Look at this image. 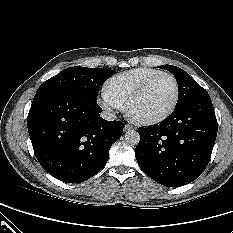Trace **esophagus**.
<instances>
[{"mask_svg":"<svg viewBox=\"0 0 233 233\" xmlns=\"http://www.w3.org/2000/svg\"><path fill=\"white\" fill-rule=\"evenodd\" d=\"M132 128H133L132 125L127 124V125L125 126V128H124V132H127V131L131 130Z\"/></svg>","mask_w":233,"mask_h":233,"instance_id":"obj_1","label":"esophagus"}]
</instances>
